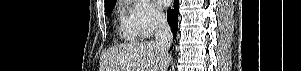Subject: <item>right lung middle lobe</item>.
Masks as SVG:
<instances>
[{"instance_id":"obj_1","label":"right lung middle lobe","mask_w":301,"mask_h":71,"mask_svg":"<svg viewBox=\"0 0 301 71\" xmlns=\"http://www.w3.org/2000/svg\"><path fill=\"white\" fill-rule=\"evenodd\" d=\"M115 3H116V0H114V1H112L110 3L105 4V11L107 13L111 12L113 10L114 6H115Z\"/></svg>"}]
</instances>
